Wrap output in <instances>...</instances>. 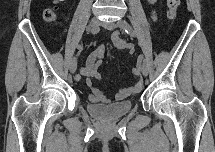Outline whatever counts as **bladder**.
I'll list each match as a JSON object with an SVG mask.
<instances>
[{"label":"bladder","mask_w":215,"mask_h":152,"mask_svg":"<svg viewBox=\"0 0 215 152\" xmlns=\"http://www.w3.org/2000/svg\"><path fill=\"white\" fill-rule=\"evenodd\" d=\"M133 102L128 100L124 102L110 103L106 105L90 104L87 109L90 114L101 120H110L121 117L131 111Z\"/></svg>","instance_id":"bladder-1"}]
</instances>
